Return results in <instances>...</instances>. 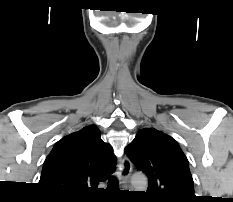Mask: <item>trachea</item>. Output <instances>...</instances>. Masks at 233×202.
<instances>
[{"mask_svg": "<svg viewBox=\"0 0 233 202\" xmlns=\"http://www.w3.org/2000/svg\"><path fill=\"white\" fill-rule=\"evenodd\" d=\"M109 187L117 188L118 187V182L115 177H111L108 181Z\"/></svg>", "mask_w": 233, "mask_h": 202, "instance_id": "trachea-1", "label": "trachea"}]
</instances>
